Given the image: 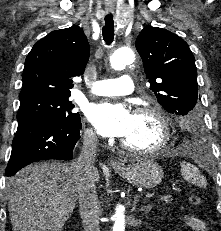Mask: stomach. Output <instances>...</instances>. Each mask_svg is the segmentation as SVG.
I'll return each mask as SVG.
<instances>
[{
	"instance_id": "stomach-1",
	"label": "stomach",
	"mask_w": 221,
	"mask_h": 231,
	"mask_svg": "<svg viewBox=\"0 0 221 231\" xmlns=\"http://www.w3.org/2000/svg\"><path fill=\"white\" fill-rule=\"evenodd\" d=\"M114 170L128 183L146 189L156 187L163 179L162 168L151 159L132 162Z\"/></svg>"
}]
</instances>
